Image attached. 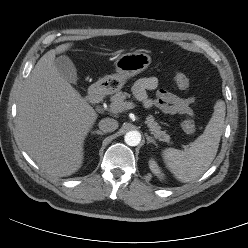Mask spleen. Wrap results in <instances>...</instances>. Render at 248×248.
Segmentation results:
<instances>
[{
    "label": "spleen",
    "instance_id": "spleen-1",
    "mask_svg": "<svg viewBox=\"0 0 248 248\" xmlns=\"http://www.w3.org/2000/svg\"><path fill=\"white\" fill-rule=\"evenodd\" d=\"M225 104L218 101L202 135L186 150L167 148L162 157L167 168L180 182L187 183L200 177L214 160L224 129Z\"/></svg>",
    "mask_w": 248,
    "mask_h": 248
}]
</instances>
